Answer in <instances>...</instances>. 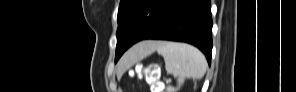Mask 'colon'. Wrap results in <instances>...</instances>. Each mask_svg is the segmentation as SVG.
<instances>
[{
    "label": "colon",
    "mask_w": 296,
    "mask_h": 92,
    "mask_svg": "<svg viewBox=\"0 0 296 92\" xmlns=\"http://www.w3.org/2000/svg\"><path fill=\"white\" fill-rule=\"evenodd\" d=\"M139 76H144L150 84H157L159 79V69L157 65L141 67L137 70Z\"/></svg>",
    "instance_id": "1"
}]
</instances>
